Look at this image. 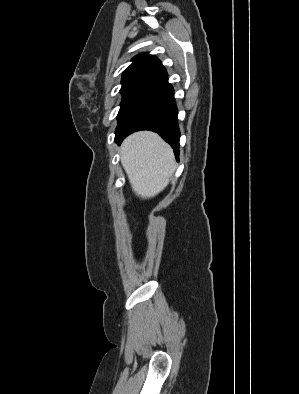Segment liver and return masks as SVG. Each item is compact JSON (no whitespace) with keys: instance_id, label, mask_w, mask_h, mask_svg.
Wrapping results in <instances>:
<instances>
[{"instance_id":"liver-1","label":"liver","mask_w":299,"mask_h":394,"mask_svg":"<svg viewBox=\"0 0 299 394\" xmlns=\"http://www.w3.org/2000/svg\"><path fill=\"white\" fill-rule=\"evenodd\" d=\"M120 154L133 191L143 199L160 193L176 169L172 148L150 131L128 136L121 145Z\"/></svg>"}]
</instances>
